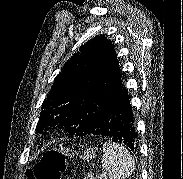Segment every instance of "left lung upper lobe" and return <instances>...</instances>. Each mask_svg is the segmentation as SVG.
Segmentation results:
<instances>
[{"instance_id":"obj_1","label":"left lung upper lobe","mask_w":183,"mask_h":179,"mask_svg":"<svg viewBox=\"0 0 183 179\" xmlns=\"http://www.w3.org/2000/svg\"><path fill=\"white\" fill-rule=\"evenodd\" d=\"M121 82L112 43L97 35L80 47L55 78L42 104L37 130L57 125L72 136L91 134L114 105Z\"/></svg>"}]
</instances>
